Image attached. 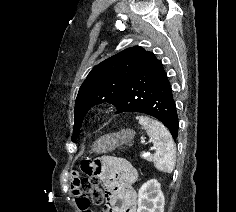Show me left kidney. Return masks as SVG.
I'll return each instance as SVG.
<instances>
[{
  "label": "left kidney",
  "instance_id": "left-kidney-1",
  "mask_svg": "<svg viewBox=\"0 0 236 212\" xmlns=\"http://www.w3.org/2000/svg\"><path fill=\"white\" fill-rule=\"evenodd\" d=\"M164 204L165 198L157 180L151 179L141 186L137 212H164Z\"/></svg>",
  "mask_w": 236,
  "mask_h": 212
}]
</instances>
